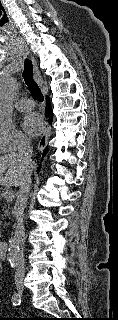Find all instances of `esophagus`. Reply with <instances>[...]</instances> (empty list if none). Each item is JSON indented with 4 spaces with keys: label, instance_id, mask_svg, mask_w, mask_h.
<instances>
[{
    "label": "esophagus",
    "instance_id": "34e87169",
    "mask_svg": "<svg viewBox=\"0 0 118 320\" xmlns=\"http://www.w3.org/2000/svg\"><path fill=\"white\" fill-rule=\"evenodd\" d=\"M31 61L34 66V78L40 85H42L43 79L41 77V73H40L39 68L37 66V62L34 57H31ZM50 133H51V127L48 122H45L44 132H43V135L41 136L39 143H38V150L39 151H43L44 148L47 146V142H48V138L50 136Z\"/></svg>",
    "mask_w": 118,
    "mask_h": 320
}]
</instances>
